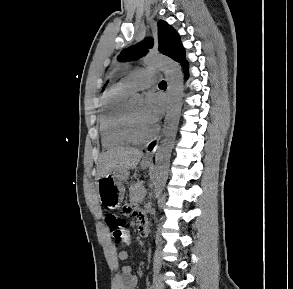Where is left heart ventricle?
Returning a JSON list of instances; mask_svg holds the SVG:
<instances>
[{
    "label": "left heart ventricle",
    "instance_id": "b2bd125f",
    "mask_svg": "<svg viewBox=\"0 0 293 289\" xmlns=\"http://www.w3.org/2000/svg\"><path fill=\"white\" fill-rule=\"evenodd\" d=\"M130 112L134 122L135 131L138 136L145 137L150 134L153 125L149 124L143 117V106L140 103L130 105Z\"/></svg>",
    "mask_w": 293,
    "mask_h": 289
}]
</instances>
